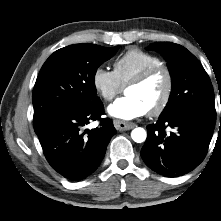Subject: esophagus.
<instances>
[{
    "instance_id": "34e87169",
    "label": "esophagus",
    "mask_w": 221,
    "mask_h": 221,
    "mask_svg": "<svg viewBox=\"0 0 221 221\" xmlns=\"http://www.w3.org/2000/svg\"><path fill=\"white\" fill-rule=\"evenodd\" d=\"M114 126L118 131H126V130L133 129L136 125L130 122L114 120Z\"/></svg>"
}]
</instances>
